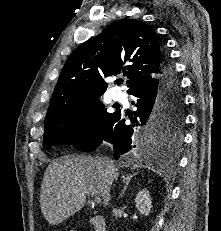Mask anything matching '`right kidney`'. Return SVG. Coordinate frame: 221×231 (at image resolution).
Returning a JSON list of instances; mask_svg holds the SVG:
<instances>
[{
    "label": "right kidney",
    "instance_id": "right-kidney-1",
    "mask_svg": "<svg viewBox=\"0 0 221 231\" xmlns=\"http://www.w3.org/2000/svg\"><path fill=\"white\" fill-rule=\"evenodd\" d=\"M135 203L137 209L141 214L145 216L149 215L152 208V201L148 190L144 189L142 191H139L136 196Z\"/></svg>",
    "mask_w": 221,
    "mask_h": 231
}]
</instances>
